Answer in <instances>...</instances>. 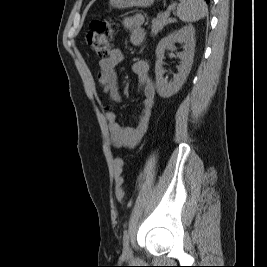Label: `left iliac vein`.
Returning a JSON list of instances; mask_svg holds the SVG:
<instances>
[{"mask_svg": "<svg viewBox=\"0 0 267 267\" xmlns=\"http://www.w3.org/2000/svg\"><path fill=\"white\" fill-rule=\"evenodd\" d=\"M123 253L126 257H131L132 255V250L131 247L129 245V241L124 243V247H123Z\"/></svg>", "mask_w": 267, "mask_h": 267, "instance_id": "4c4485c4", "label": "left iliac vein"}]
</instances>
